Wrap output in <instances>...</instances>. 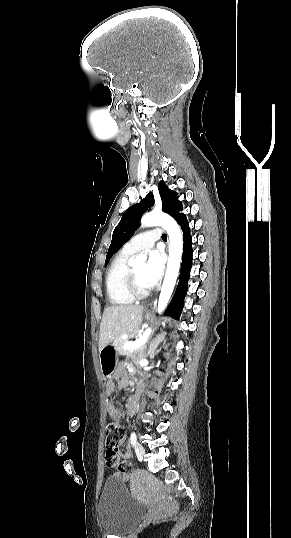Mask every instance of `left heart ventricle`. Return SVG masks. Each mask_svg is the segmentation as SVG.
<instances>
[{"mask_svg":"<svg viewBox=\"0 0 291 538\" xmlns=\"http://www.w3.org/2000/svg\"><path fill=\"white\" fill-rule=\"evenodd\" d=\"M144 270H145V265H139V266H135L133 268V271H134V274L136 276V279L138 281L139 286L143 290H147V289H150V287L147 285V283L145 281Z\"/></svg>","mask_w":291,"mask_h":538,"instance_id":"left-heart-ventricle-1","label":"left heart ventricle"}]
</instances>
